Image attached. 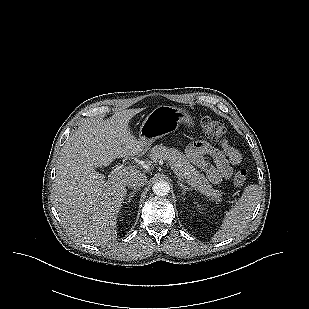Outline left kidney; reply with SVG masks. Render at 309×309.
Returning <instances> with one entry per match:
<instances>
[{
	"mask_svg": "<svg viewBox=\"0 0 309 309\" xmlns=\"http://www.w3.org/2000/svg\"><path fill=\"white\" fill-rule=\"evenodd\" d=\"M195 204H197V202ZM197 207H198V209H200L201 205L197 204Z\"/></svg>",
	"mask_w": 309,
	"mask_h": 309,
	"instance_id": "1",
	"label": "left kidney"
}]
</instances>
